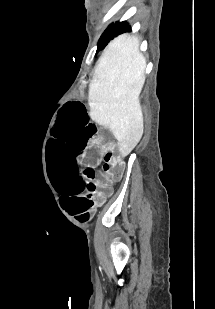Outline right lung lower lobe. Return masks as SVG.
<instances>
[{"label":"right lung lower lobe","instance_id":"obj_1","mask_svg":"<svg viewBox=\"0 0 215 309\" xmlns=\"http://www.w3.org/2000/svg\"><path fill=\"white\" fill-rule=\"evenodd\" d=\"M121 24H122V25H121V29H120L118 35L121 34V33H123V32H126V31H129V30H130L129 25H128L126 22H122Z\"/></svg>","mask_w":215,"mask_h":309}]
</instances>
